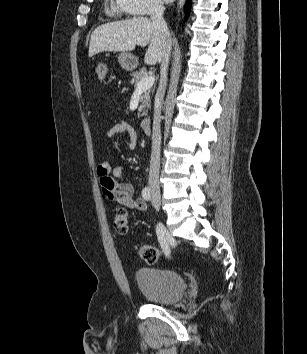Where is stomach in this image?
<instances>
[{
	"label": "stomach",
	"instance_id": "1",
	"mask_svg": "<svg viewBox=\"0 0 307 354\" xmlns=\"http://www.w3.org/2000/svg\"><path fill=\"white\" fill-rule=\"evenodd\" d=\"M120 66L126 71H133L138 66V59L131 53H121L118 56Z\"/></svg>",
	"mask_w": 307,
	"mask_h": 354
}]
</instances>
